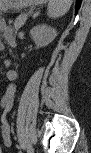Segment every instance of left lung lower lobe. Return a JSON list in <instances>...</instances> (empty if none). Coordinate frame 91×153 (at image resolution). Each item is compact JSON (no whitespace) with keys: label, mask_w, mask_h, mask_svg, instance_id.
I'll return each instance as SVG.
<instances>
[{"label":"left lung lower lobe","mask_w":91,"mask_h":153,"mask_svg":"<svg viewBox=\"0 0 91 153\" xmlns=\"http://www.w3.org/2000/svg\"><path fill=\"white\" fill-rule=\"evenodd\" d=\"M79 2V0H77V3ZM79 4H77V6H78Z\"/></svg>","instance_id":"0a47b994"}]
</instances>
